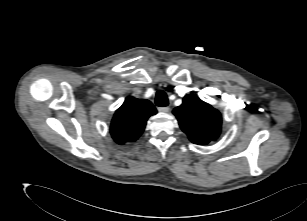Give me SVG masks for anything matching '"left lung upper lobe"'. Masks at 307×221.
<instances>
[{
  "mask_svg": "<svg viewBox=\"0 0 307 221\" xmlns=\"http://www.w3.org/2000/svg\"><path fill=\"white\" fill-rule=\"evenodd\" d=\"M180 128L191 142L205 145L215 141L221 131L220 112L194 96H185L183 103L173 110Z\"/></svg>",
  "mask_w": 307,
  "mask_h": 221,
  "instance_id": "obj_1",
  "label": "left lung upper lobe"
}]
</instances>
